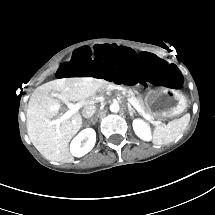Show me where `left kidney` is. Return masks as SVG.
Returning a JSON list of instances; mask_svg holds the SVG:
<instances>
[{
    "mask_svg": "<svg viewBox=\"0 0 215 215\" xmlns=\"http://www.w3.org/2000/svg\"><path fill=\"white\" fill-rule=\"evenodd\" d=\"M133 129L135 134L142 140L149 141L151 139V132L148 125L140 119L133 121Z\"/></svg>",
    "mask_w": 215,
    "mask_h": 215,
    "instance_id": "obj_1",
    "label": "left kidney"
}]
</instances>
